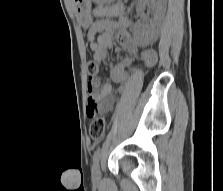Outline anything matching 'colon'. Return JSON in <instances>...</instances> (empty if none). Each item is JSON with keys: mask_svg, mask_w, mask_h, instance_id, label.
<instances>
[{"mask_svg": "<svg viewBox=\"0 0 223 191\" xmlns=\"http://www.w3.org/2000/svg\"><path fill=\"white\" fill-rule=\"evenodd\" d=\"M87 71L89 74L90 80H94L99 72L98 63L94 60H91L87 63ZM90 112L94 113V109H90ZM107 120L104 117H95L90 125V136L94 140H100L106 131Z\"/></svg>", "mask_w": 223, "mask_h": 191, "instance_id": "obj_1", "label": "colon"}]
</instances>
